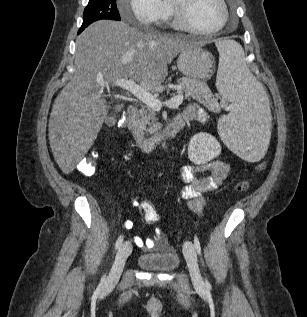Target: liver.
<instances>
[{"label":"liver","instance_id":"obj_1","mask_svg":"<svg viewBox=\"0 0 307 317\" xmlns=\"http://www.w3.org/2000/svg\"><path fill=\"white\" fill-rule=\"evenodd\" d=\"M205 44L140 31L124 22L102 20L87 27L76 39L74 76L55 99L49 119L50 147L61 170L69 174L86 155L111 107L98 81L108 83L107 88L121 79L143 88L160 85L177 54Z\"/></svg>","mask_w":307,"mask_h":317}]
</instances>
